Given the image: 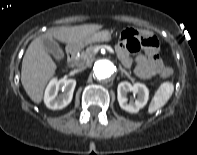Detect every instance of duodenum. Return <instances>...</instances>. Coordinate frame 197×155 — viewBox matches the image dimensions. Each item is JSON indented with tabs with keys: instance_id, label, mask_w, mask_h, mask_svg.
<instances>
[{
	"instance_id": "duodenum-1",
	"label": "duodenum",
	"mask_w": 197,
	"mask_h": 155,
	"mask_svg": "<svg viewBox=\"0 0 197 155\" xmlns=\"http://www.w3.org/2000/svg\"><path fill=\"white\" fill-rule=\"evenodd\" d=\"M76 53H77V50L74 46L68 48L67 52H66V61L67 62H72L74 60L75 56H76Z\"/></svg>"
}]
</instances>
